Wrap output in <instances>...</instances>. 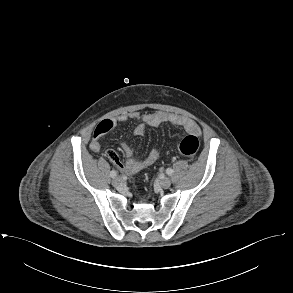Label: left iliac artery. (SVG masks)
Wrapping results in <instances>:
<instances>
[{"label":"left iliac artery","instance_id":"obj_1","mask_svg":"<svg viewBox=\"0 0 293 293\" xmlns=\"http://www.w3.org/2000/svg\"><path fill=\"white\" fill-rule=\"evenodd\" d=\"M166 173H167L168 175H172V174H173V170H172L171 168H168V169L166 170Z\"/></svg>","mask_w":293,"mask_h":293}]
</instances>
